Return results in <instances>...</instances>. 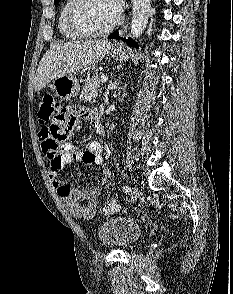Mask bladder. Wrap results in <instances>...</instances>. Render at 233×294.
I'll list each match as a JSON object with an SVG mask.
<instances>
[{"instance_id":"bladder-1","label":"bladder","mask_w":233,"mask_h":294,"mask_svg":"<svg viewBox=\"0 0 233 294\" xmlns=\"http://www.w3.org/2000/svg\"><path fill=\"white\" fill-rule=\"evenodd\" d=\"M141 228L133 220L124 216H116L104 221L98 228L101 243L110 248L130 249L141 238Z\"/></svg>"}]
</instances>
